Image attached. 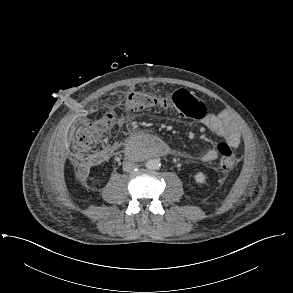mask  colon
<instances>
[{
	"label": "colon",
	"mask_w": 293,
	"mask_h": 293,
	"mask_svg": "<svg viewBox=\"0 0 293 293\" xmlns=\"http://www.w3.org/2000/svg\"><path fill=\"white\" fill-rule=\"evenodd\" d=\"M200 105V101L186 90L174 92L167 104H164L161 100H158L147 92L134 90L126 97L124 111L126 114H129L151 107L170 106L178 110L183 116L197 117L195 110ZM114 118L115 115L109 113L102 120L89 122L81 126L76 134V153L83 157L87 150L95 146L100 141L104 131L112 124ZM216 149L220 158L221 168L226 171L232 170L237 163V158L230 145L225 142H220Z\"/></svg>",
	"instance_id": "colon-1"
}]
</instances>
